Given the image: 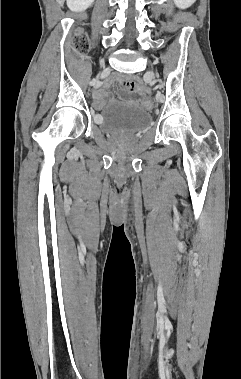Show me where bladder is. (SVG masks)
Listing matches in <instances>:
<instances>
[{"mask_svg": "<svg viewBox=\"0 0 241 379\" xmlns=\"http://www.w3.org/2000/svg\"><path fill=\"white\" fill-rule=\"evenodd\" d=\"M150 122L151 116L143 107L115 103L99 115L98 126L106 134L127 137L147 129Z\"/></svg>", "mask_w": 241, "mask_h": 379, "instance_id": "31cf9c89", "label": "bladder"}]
</instances>
